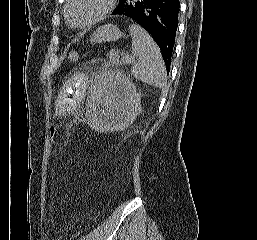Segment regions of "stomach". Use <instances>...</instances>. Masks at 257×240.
I'll use <instances>...</instances> for the list:
<instances>
[{
    "mask_svg": "<svg viewBox=\"0 0 257 240\" xmlns=\"http://www.w3.org/2000/svg\"><path fill=\"white\" fill-rule=\"evenodd\" d=\"M122 37L119 28L113 24L98 27L90 37L92 43L116 41Z\"/></svg>",
    "mask_w": 257,
    "mask_h": 240,
    "instance_id": "obj_1",
    "label": "stomach"
}]
</instances>
